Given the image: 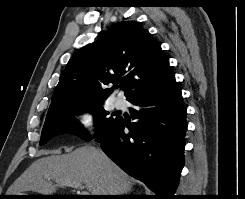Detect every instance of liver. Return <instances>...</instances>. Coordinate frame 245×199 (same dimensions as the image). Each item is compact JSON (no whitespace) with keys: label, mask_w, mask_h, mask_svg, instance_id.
<instances>
[{"label":"liver","mask_w":245,"mask_h":199,"mask_svg":"<svg viewBox=\"0 0 245 199\" xmlns=\"http://www.w3.org/2000/svg\"><path fill=\"white\" fill-rule=\"evenodd\" d=\"M84 183L91 195H124L131 190V178L102 151L82 146L66 155H51L33 162L13 183L9 193L56 192L59 181Z\"/></svg>","instance_id":"liver-1"}]
</instances>
